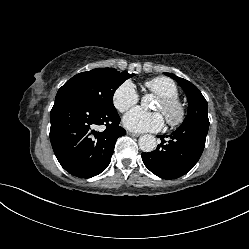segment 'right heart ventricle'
Wrapping results in <instances>:
<instances>
[{"label":"right heart ventricle","mask_w":249,"mask_h":249,"mask_svg":"<svg viewBox=\"0 0 249 249\" xmlns=\"http://www.w3.org/2000/svg\"><path fill=\"white\" fill-rule=\"evenodd\" d=\"M144 86L158 97L178 98L179 89L176 83L164 76L146 80Z\"/></svg>","instance_id":"right-heart-ventricle-1"}]
</instances>
